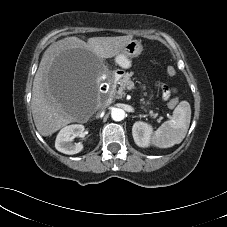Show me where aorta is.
Instances as JSON below:
<instances>
[{"label": "aorta", "instance_id": "762f6f07", "mask_svg": "<svg viewBox=\"0 0 227 227\" xmlns=\"http://www.w3.org/2000/svg\"><path fill=\"white\" fill-rule=\"evenodd\" d=\"M111 117L114 121H121L125 118V111L119 108H115L111 112Z\"/></svg>", "mask_w": 227, "mask_h": 227}]
</instances>
